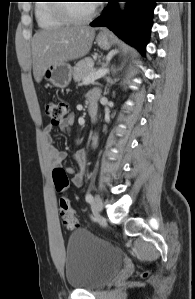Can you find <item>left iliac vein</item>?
Masks as SVG:
<instances>
[{
  "instance_id": "obj_1",
  "label": "left iliac vein",
  "mask_w": 195,
  "mask_h": 299,
  "mask_svg": "<svg viewBox=\"0 0 195 299\" xmlns=\"http://www.w3.org/2000/svg\"><path fill=\"white\" fill-rule=\"evenodd\" d=\"M103 208V203L99 197H95L91 203V209L94 215L100 214Z\"/></svg>"
}]
</instances>
